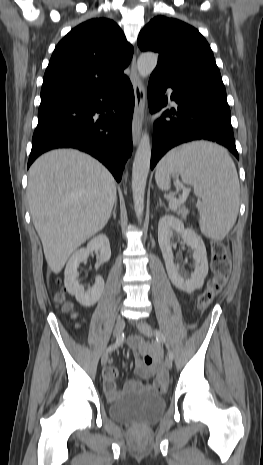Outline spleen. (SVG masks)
Instances as JSON below:
<instances>
[{"label":"spleen","instance_id":"1","mask_svg":"<svg viewBox=\"0 0 263 465\" xmlns=\"http://www.w3.org/2000/svg\"><path fill=\"white\" fill-rule=\"evenodd\" d=\"M171 175H180L202 198L201 232L214 240L224 239L236 222L240 194L236 167L227 151L204 141L173 149L157 165L155 180L162 191L170 189Z\"/></svg>","mask_w":263,"mask_h":465}]
</instances>
